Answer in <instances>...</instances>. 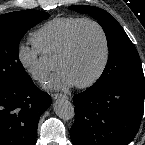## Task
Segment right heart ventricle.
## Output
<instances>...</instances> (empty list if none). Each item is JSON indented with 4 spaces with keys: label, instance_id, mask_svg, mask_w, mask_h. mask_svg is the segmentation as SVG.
Masks as SVG:
<instances>
[{
    "label": "right heart ventricle",
    "instance_id": "1",
    "mask_svg": "<svg viewBox=\"0 0 145 145\" xmlns=\"http://www.w3.org/2000/svg\"><path fill=\"white\" fill-rule=\"evenodd\" d=\"M81 19L74 16H61L49 20L32 34L33 45L43 56L55 58L62 49L69 32Z\"/></svg>",
    "mask_w": 145,
    "mask_h": 145
}]
</instances>
